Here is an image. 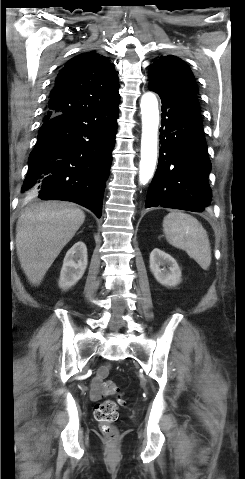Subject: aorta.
<instances>
[{
    "instance_id": "1",
    "label": "aorta",
    "mask_w": 245,
    "mask_h": 479,
    "mask_svg": "<svg viewBox=\"0 0 245 479\" xmlns=\"http://www.w3.org/2000/svg\"><path fill=\"white\" fill-rule=\"evenodd\" d=\"M142 137L139 181L145 185L153 176L157 161V133L159 125L158 101L153 93L141 98Z\"/></svg>"
}]
</instances>
